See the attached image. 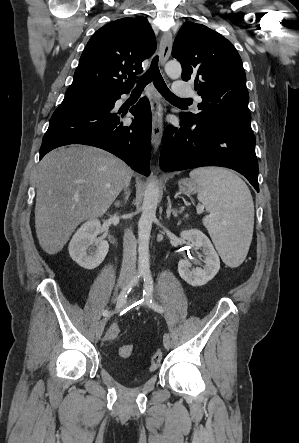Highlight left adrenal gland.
Returning <instances> with one entry per match:
<instances>
[{"instance_id":"a2214340","label":"left adrenal gland","mask_w":299,"mask_h":443,"mask_svg":"<svg viewBox=\"0 0 299 443\" xmlns=\"http://www.w3.org/2000/svg\"><path fill=\"white\" fill-rule=\"evenodd\" d=\"M167 200H168V203H167V209H166V218L169 219L170 216H171V214H172L174 217H177V210L172 209V205H171V200H170V198L168 197Z\"/></svg>"}]
</instances>
